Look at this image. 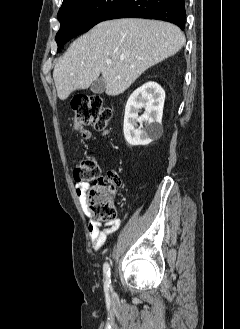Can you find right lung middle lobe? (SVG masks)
<instances>
[{
    "mask_svg": "<svg viewBox=\"0 0 240 329\" xmlns=\"http://www.w3.org/2000/svg\"><path fill=\"white\" fill-rule=\"evenodd\" d=\"M123 0H73L58 12L60 30L56 35L58 50L71 38L101 22Z\"/></svg>",
    "mask_w": 240,
    "mask_h": 329,
    "instance_id": "dd1d6c3e",
    "label": "right lung middle lobe"
}]
</instances>
